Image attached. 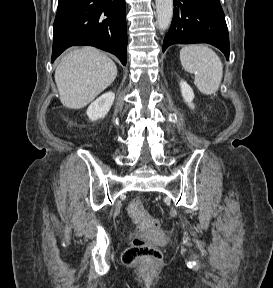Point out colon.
<instances>
[{"instance_id": "colon-1", "label": "colon", "mask_w": 273, "mask_h": 288, "mask_svg": "<svg viewBox=\"0 0 273 288\" xmlns=\"http://www.w3.org/2000/svg\"><path fill=\"white\" fill-rule=\"evenodd\" d=\"M128 211L136 225L143 230L154 229L158 227L159 222L150 215L142 205L140 199H133L128 206ZM162 253L154 245L148 243L144 238L136 237L123 254V262L127 265L143 259L149 264L157 263L161 260Z\"/></svg>"}]
</instances>
